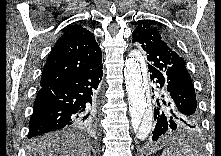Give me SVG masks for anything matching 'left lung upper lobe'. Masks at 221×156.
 Masks as SVG:
<instances>
[{"mask_svg": "<svg viewBox=\"0 0 221 156\" xmlns=\"http://www.w3.org/2000/svg\"><path fill=\"white\" fill-rule=\"evenodd\" d=\"M132 37L133 43L139 42L145 51L148 68L159 70L166 76L167 88L175 104L184 112L199 118L191 77L183 58L176 53L168 36L152 22H142L134 30Z\"/></svg>", "mask_w": 221, "mask_h": 156, "instance_id": "left-lung-upper-lobe-1", "label": "left lung upper lobe"}]
</instances>
